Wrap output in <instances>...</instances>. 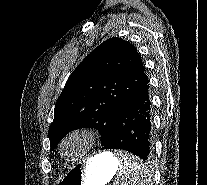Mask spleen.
<instances>
[{"label":"spleen","instance_id":"spleen-1","mask_svg":"<svg viewBox=\"0 0 207 185\" xmlns=\"http://www.w3.org/2000/svg\"><path fill=\"white\" fill-rule=\"evenodd\" d=\"M118 158L119 170L114 185H144L146 179H153V174H149L148 166H144L142 159H132L137 158V153L119 151Z\"/></svg>","mask_w":207,"mask_h":185}]
</instances>
